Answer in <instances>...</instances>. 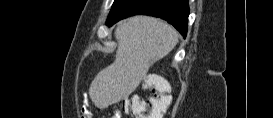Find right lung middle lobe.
I'll return each mask as SVG.
<instances>
[{
  "label": "right lung middle lobe",
  "instance_id": "1",
  "mask_svg": "<svg viewBox=\"0 0 273 118\" xmlns=\"http://www.w3.org/2000/svg\"><path fill=\"white\" fill-rule=\"evenodd\" d=\"M123 0H115L110 13L119 5Z\"/></svg>",
  "mask_w": 273,
  "mask_h": 118
}]
</instances>
